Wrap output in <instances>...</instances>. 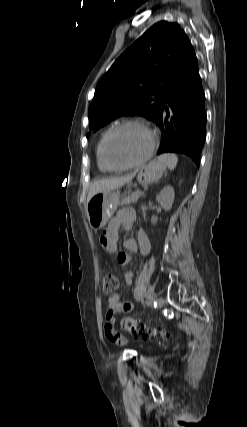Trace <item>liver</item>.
<instances>
[{
  "mask_svg": "<svg viewBox=\"0 0 247 427\" xmlns=\"http://www.w3.org/2000/svg\"><path fill=\"white\" fill-rule=\"evenodd\" d=\"M134 176H135V173H132L124 177L107 178V179H102V180L93 182L89 188L87 203L95 194L102 191H106V190H115L123 186L125 183L129 182L130 180H132Z\"/></svg>",
  "mask_w": 247,
  "mask_h": 427,
  "instance_id": "liver-1",
  "label": "liver"
}]
</instances>
